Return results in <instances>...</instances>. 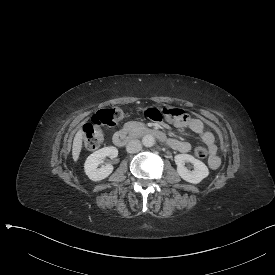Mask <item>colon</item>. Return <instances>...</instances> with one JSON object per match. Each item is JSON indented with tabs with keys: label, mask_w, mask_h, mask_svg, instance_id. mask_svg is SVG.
Returning <instances> with one entry per match:
<instances>
[{
	"label": "colon",
	"mask_w": 275,
	"mask_h": 275,
	"mask_svg": "<svg viewBox=\"0 0 275 275\" xmlns=\"http://www.w3.org/2000/svg\"><path fill=\"white\" fill-rule=\"evenodd\" d=\"M144 117L155 122L163 120L178 121L186 115V111L181 108L165 105L162 108L149 107L143 111ZM123 117L121 107H112L97 111L81 129L83 143L88 150H98L104 139V129L114 126ZM208 155L207 149L200 145L195 148V156L205 159Z\"/></svg>",
	"instance_id": "1"
}]
</instances>
